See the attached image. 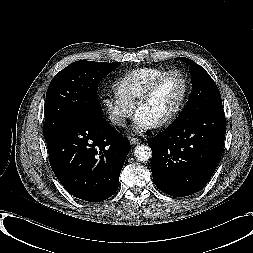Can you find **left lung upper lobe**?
<instances>
[{"mask_svg": "<svg viewBox=\"0 0 253 253\" xmlns=\"http://www.w3.org/2000/svg\"><path fill=\"white\" fill-rule=\"evenodd\" d=\"M176 59L190 65L192 91L186 107L175 122L222 105L220 92L210 75L191 59L186 57Z\"/></svg>", "mask_w": 253, "mask_h": 253, "instance_id": "1", "label": "left lung upper lobe"}]
</instances>
